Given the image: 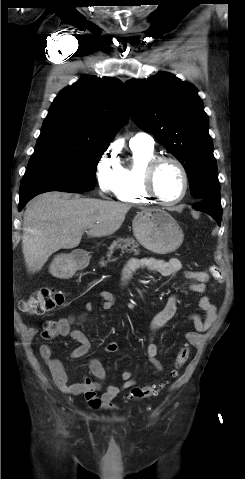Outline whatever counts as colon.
I'll list each match as a JSON object with an SVG mask.
<instances>
[{
    "label": "colon",
    "instance_id": "1",
    "mask_svg": "<svg viewBox=\"0 0 245 479\" xmlns=\"http://www.w3.org/2000/svg\"><path fill=\"white\" fill-rule=\"evenodd\" d=\"M211 274L219 278L221 275L220 269L216 266L210 268ZM68 294L60 289L53 287H44L36 290L32 295L23 299L20 303L21 310L32 316L43 315L54 309L62 306L67 299ZM59 334V327L57 321L49 320L44 322L42 337L45 339L54 338ZM189 358V348L188 346H182L174 360V368L171 371L170 375L173 378H176L179 374V370L186 364ZM163 385H148L144 387H137L132 389L129 394L130 399H146L153 396H156L159 393L160 388Z\"/></svg>",
    "mask_w": 245,
    "mask_h": 479
}]
</instances>
